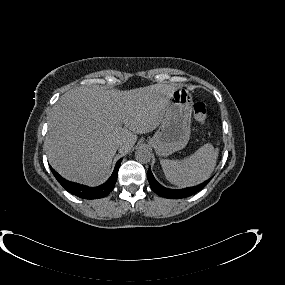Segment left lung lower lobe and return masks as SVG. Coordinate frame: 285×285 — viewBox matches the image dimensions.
<instances>
[{"label":"left lung lower lobe","instance_id":"1","mask_svg":"<svg viewBox=\"0 0 285 285\" xmlns=\"http://www.w3.org/2000/svg\"><path fill=\"white\" fill-rule=\"evenodd\" d=\"M147 179L149 181V184L152 190L156 194H158L159 196H162L165 198H171V199H181V198L189 197L197 193L198 191H200L210 181L209 179L198 186L186 188V189H180V190L167 189L156 181L150 168L147 172Z\"/></svg>","mask_w":285,"mask_h":285}]
</instances>
